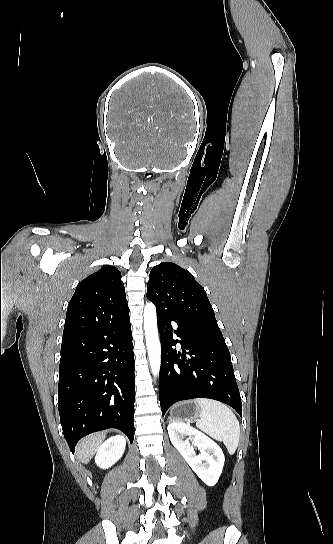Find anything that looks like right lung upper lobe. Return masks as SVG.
<instances>
[{
    "label": "right lung upper lobe",
    "mask_w": 333,
    "mask_h": 544,
    "mask_svg": "<svg viewBox=\"0 0 333 544\" xmlns=\"http://www.w3.org/2000/svg\"><path fill=\"white\" fill-rule=\"evenodd\" d=\"M127 313L121 273L105 265L78 284L67 308L63 337L120 320Z\"/></svg>",
    "instance_id": "right-lung-upper-lobe-1"
}]
</instances>
